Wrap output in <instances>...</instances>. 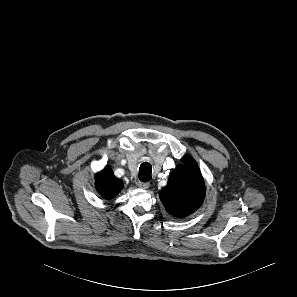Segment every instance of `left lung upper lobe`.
<instances>
[{"label": "left lung upper lobe", "mask_w": 297, "mask_h": 297, "mask_svg": "<svg viewBox=\"0 0 297 297\" xmlns=\"http://www.w3.org/2000/svg\"><path fill=\"white\" fill-rule=\"evenodd\" d=\"M182 162L172 171L167 185L159 192L167 212L177 218L195 212L205 196L204 181L195 160L186 155Z\"/></svg>", "instance_id": "obj_1"}]
</instances>
